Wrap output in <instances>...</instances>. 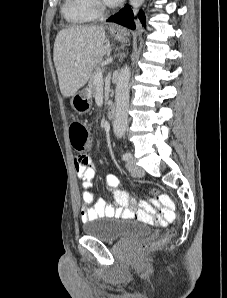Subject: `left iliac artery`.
Returning <instances> with one entry per match:
<instances>
[{"label":"left iliac artery","mask_w":227,"mask_h":298,"mask_svg":"<svg viewBox=\"0 0 227 298\" xmlns=\"http://www.w3.org/2000/svg\"><path fill=\"white\" fill-rule=\"evenodd\" d=\"M132 157L131 153L126 152L122 155V160L128 161Z\"/></svg>","instance_id":"44dca946"}]
</instances>
